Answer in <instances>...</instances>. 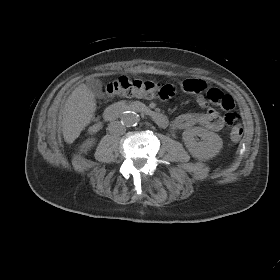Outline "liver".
<instances>
[{"label":"liver","instance_id":"1","mask_svg":"<svg viewBox=\"0 0 280 280\" xmlns=\"http://www.w3.org/2000/svg\"><path fill=\"white\" fill-rule=\"evenodd\" d=\"M96 111L93 92L85 85L76 87L67 98L63 109L62 132L65 142L73 143L91 122Z\"/></svg>","mask_w":280,"mask_h":280}]
</instances>
